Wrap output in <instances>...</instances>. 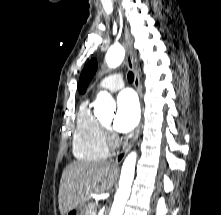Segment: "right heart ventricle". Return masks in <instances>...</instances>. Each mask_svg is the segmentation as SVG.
<instances>
[{"label": "right heart ventricle", "instance_id": "right-heart-ventricle-1", "mask_svg": "<svg viewBox=\"0 0 221 215\" xmlns=\"http://www.w3.org/2000/svg\"><path fill=\"white\" fill-rule=\"evenodd\" d=\"M72 150L74 157L83 162L104 159L108 153L102 123L93 114L88 100L82 102L77 112Z\"/></svg>", "mask_w": 221, "mask_h": 215}]
</instances>
